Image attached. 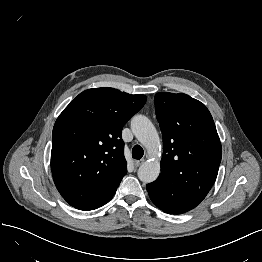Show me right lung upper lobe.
<instances>
[{
  "label": "right lung upper lobe",
  "mask_w": 262,
  "mask_h": 262,
  "mask_svg": "<svg viewBox=\"0 0 262 262\" xmlns=\"http://www.w3.org/2000/svg\"><path fill=\"white\" fill-rule=\"evenodd\" d=\"M146 96L88 89L60 114L52 133L51 170L62 197L81 210L112 199L127 173L122 128Z\"/></svg>",
  "instance_id": "1"
}]
</instances>
